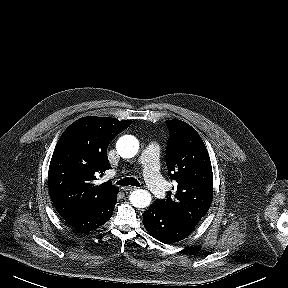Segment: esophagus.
I'll use <instances>...</instances> for the list:
<instances>
[{
    "label": "esophagus",
    "mask_w": 288,
    "mask_h": 288,
    "mask_svg": "<svg viewBox=\"0 0 288 288\" xmlns=\"http://www.w3.org/2000/svg\"><path fill=\"white\" fill-rule=\"evenodd\" d=\"M122 189H123L124 191H133V190H136L137 187L127 186V187H123Z\"/></svg>",
    "instance_id": "1"
}]
</instances>
